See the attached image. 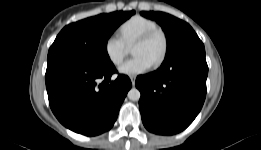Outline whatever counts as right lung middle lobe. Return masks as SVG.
<instances>
[{
  "instance_id": "dd1d6c3e",
  "label": "right lung middle lobe",
  "mask_w": 261,
  "mask_h": 150,
  "mask_svg": "<svg viewBox=\"0 0 261 150\" xmlns=\"http://www.w3.org/2000/svg\"><path fill=\"white\" fill-rule=\"evenodd\" d=\"M135 11L100 14L67 25L51 45L47 63L73 61L99 65L110 62L107 41L115 29Z\"/></svg>"
}]
</instances>
